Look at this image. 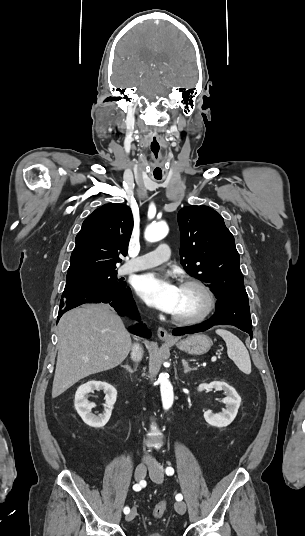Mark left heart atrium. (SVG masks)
<instances>
[{
  "label": "left heart atrium",
  "instance_id": "1",
  "mask_svg": "<svg viewBox=\"0 0 305 536\" xmlns=\"http://www.w3.org/2000/svg\"><path fill=\"white\" fill-rule=\"evenodd\" d=\"M179 287L172 275L155 273L141 275L135 285L144 301L168 313H173L178 304Z\"/></svg>",
  "mask_w": 305,
  "mask_h": 536
}]
</instances>
